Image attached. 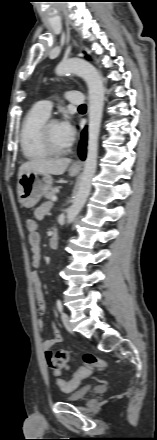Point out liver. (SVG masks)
<instances>
[{
    "label": "liver",
    "mask_w": 157,
    "mask_h": 440,
    "mask_svg": "<svg viewBox=\"0 0 157 440\" xmlns=\"http://www.w3.org/2000/svg\"><path fill=\"white\" fill-rule=\"evenodd\" d=\"M70 163L71 159L69 158L33 159L20 166L18 178L31 172L62 175Z\"/></svg>",
    "instance_id": "obj_1"
}]
</instances>
